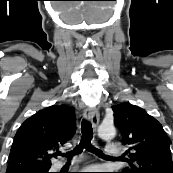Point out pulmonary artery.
<instances>
[{"instance_id":"pulmonary-artery-1","label":"pulmonary artery","mask_w":173,"mask_h":173,"mask_svg":"<svg viewBox=\"0 0 173 173\" xmlns=\"http://www.w3.org/2000/svg\"><path fill=\"white\" fill-rule=\"evenodd\" d=\"M105 152L108 155L116 156V155H118L120 153V147L115 146V145L106 146L105 147ZM73 162H75V161H73Z\"/></svg>"}]
</instances>
